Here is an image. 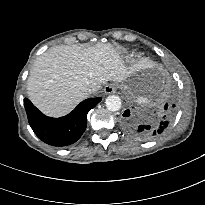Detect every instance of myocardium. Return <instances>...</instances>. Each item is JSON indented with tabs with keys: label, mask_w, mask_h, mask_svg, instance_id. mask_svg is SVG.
Instances as JSON below:
<instances>
[{
	"label": "myocardium",
	"mask_w": 205,
	"mask_h": 205,
	"mask_svg": "<svg viewBox=\"0 0 205 205\" xmlns=\"http://www.w3.org/2000/svg\"><path fill=\"white\" fill-rule=\"evenodd\" d=\"M135 57H136L137 59H140V58L142 57V53L137 52V53L135 54Z\"/></svg>",
	"instance_id": "myocardium-1"
}]
</instances>
